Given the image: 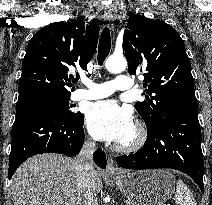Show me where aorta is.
I'll list each match as a JSON object with an SVG mask.
<instances>
[{
  "label": "aorta",
  "instance_id": "762f6f07",
  "mask_svg": "<svg viewBox=\"0 0 212 205\" xmlns=\"http://www.w3.org/2000/svg\"><path fill=\"white\" fill-rule=\"evenodd\" d=\"M106 69L111 73H120L127 67V61L123 56H110L105 61Z\"/></svg>",
  "mask_w": 212,
  "mask_h": 205
}]
</instances>
